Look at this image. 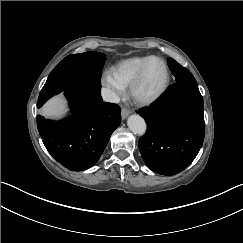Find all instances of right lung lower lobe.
<instances>
[{
    "label": "right lung lower lobe",
    "instance_id": "98d812e1",
    "mask_svg": "<svg viewBox=\"0 0 243 243\" xmlns=\"http://www.w3.org/2000/svg\"><path fill=\"white\" fill-rule=\"evenodd\" d=\"M100 89L101 86L87 84L68 87L64 94L70 103L71 116L63 121L37 116L38 131L45 147L69 170L92 167L120 124V107L104 103Z\"/></svg>",
    "mask_w": 243,
    "mask_h": 243
}]
</instances>
